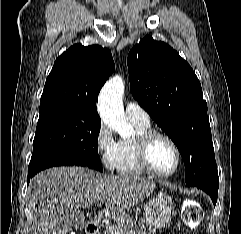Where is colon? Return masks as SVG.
Instances as JSON below:
<instances>
[{"instance_id":"obj_1","label":"colon","mask_w":241,"mask_h":234,"mask_svg":"<svg viewBox=\"0 0 241 234\" xmlns=\"http://www.w3.org/2000/svg\"><path fill=\"white\" fill-rule=\"evenodd\" d=\"M203 217V211L200 205L195 201H189L185 204L182 211V219L188 227H196Z\"/></svg>"}]
</instances>
